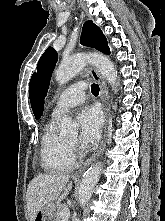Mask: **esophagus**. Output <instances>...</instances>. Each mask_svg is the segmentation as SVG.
Returning a JSON list of instances; mask_svg holds the SVG:
<instances>
[{
	"label": "esophagus",
	"instance_id": "esophagus-1",
	"mask_svg": "<svg viewBox=\"0 0 165 221\" xmlns=\"http://www.w3.org/2000/svg\"><path fill=\"white\" fill-rule=\"evenodd\" d=\"M90 74L92 78L99 84L100 87V96L102 100V106L105 112L106 122H105V129L102 138V142L98 150L84 163L82 168L79 170L82 172L87 166H89L92 162H94L103 152L106 144L107 134H108V124L110 118V106H109V93L107 89L106 82L104 81L103 77L99 74L95 67H90Z\"/></svg>",
	"mask_w": 165,
	"mask_h": 221
}]
</instances>
